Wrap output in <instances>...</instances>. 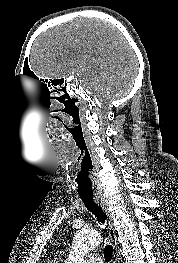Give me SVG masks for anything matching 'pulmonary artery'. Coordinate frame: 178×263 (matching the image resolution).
Wrapping results in <instances>:
<instances>
[{
    "label": "pulmonary artery",
    "mask_w": 178,
    "mask_h": 263,
    "mask_svg": "<svg viewBox=\"0 0 178 263\" xmlns=\"http://www.w3.org/2000/svg\"><path fill=\"white\" fill-rule=\"evenodd\" d=\"M84 263H102V259L97 253H90L84 258Z\"/></svg>",
    "instance_id": "obj_1"
}]
</instances>
